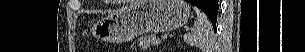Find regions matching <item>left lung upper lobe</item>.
I'll return each instance as SVG.
<instances>
[{"instance_id": "left-lung-upper-lobe-1", "label": "left lung upper lobe", "mask_w": 305, "mask_h": 52, "mask_svg": "<svg viewBox=\"0 0 305 52\" xmlns=\"http://www.w3.org/2000/svg\"><path fill=\"white\" fill-rule=\"evenodd\" d=\"M205 13L208 15V17L211 20L212 24H215L216 21H217L218 9H206Z\"/></svg>"}]
</instances>
